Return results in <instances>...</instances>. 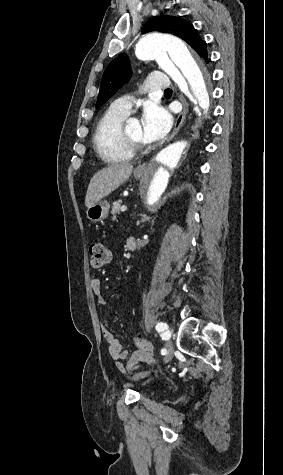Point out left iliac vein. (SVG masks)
Returning a JSON list of instances; mask_svg holds the SVG:
<instances>
[{
    "label": "left iliac vein",
    "mask_w": 283,
    "mask_h": 475,
    "mask_svg": "<svg viewBox=\"0 0 283 475\" xmlns=\"http://www.w3.org/2000/svg\"><path fill=\"white\" fill-rule=\"evenodd\" d=\"M163 336H165L168 339L171 336V329L167 328V330L163 333ZM165 347L167 349V355L164 357V362H168L171 360L173 356V347L169 343H166ZM147 374H148L147 371L136 373L133 376V379L143 378Z\"/></svg>",
    "instance_id": "4c4485c4"
}]
</instances>
